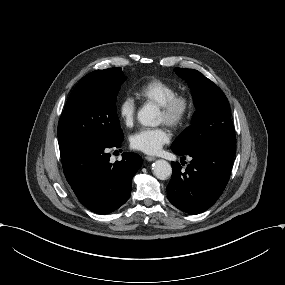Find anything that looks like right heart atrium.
Instances as JSON below:
<instances>
[{
	"mask_svg": "<svg viewBox=\"0 0 285 285\" xmlns=\"http://www.w3.org/2000/svg\"><path fill=\"white\" fill-rule=\"evenodd\" d=\"M138 102L134 95L130 92L126 93L119 102V115L127 126H131L134 122Z\"/></svg>",
	"mask_w": 285,
	"mask_h": 285,
	"instance_id": "right-heart-atrium-1",
	"label": "right heart atrium"
}]
</instances>
